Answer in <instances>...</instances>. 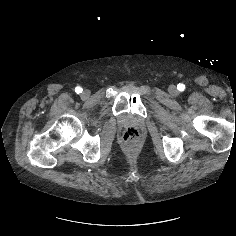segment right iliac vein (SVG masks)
<instances>
[{"instance_id":"1","label":"right iliac vein","mask_w":236,"mask_h":236,"mask_svg":"<svg viewBox=\"0 0 236 236\" xmlns=\"http://www.w3.org/2000/svg\"><path fill=\"white\" fill-rule=\"evenodd\" d=\"M90 96L89 90H84L81 94L82 99H87Z\"/></svg>"}]
</instances>
